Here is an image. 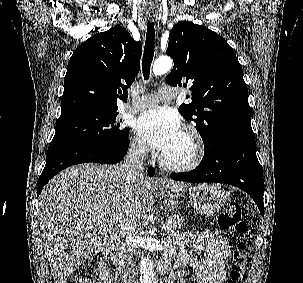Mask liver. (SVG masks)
<instances>
[{
  "label": "liver",
  "instance_id": "6515ba94",
  "mask_svg": "<svg viewBox=\"0 0 303 283\" xmlns=\"http://www.w3.org/2000/svg\"><path fill=\"white\" fill-rule=\"evenodd\" d=\"M159 183L172 192L188 187L144 176L128 181L122 167L94 163L51 179L39 196L38 219L54 283H65L93 252L108 250L120 228L135 225L151 208Z\"/></svg>",
  "mask_w": 303,
  "mask_h": 283
}]
</instances>
